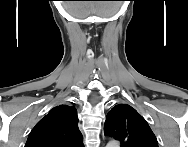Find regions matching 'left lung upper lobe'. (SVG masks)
Here are the masks:
<instances>
[{
    "mask_svg": "<svg viewBox=\"0 0 188 147\" xmlns=\"http://www.w3.org/2000/svg\"><path fill=\"white\" fill-rule=\"evenodd\" d=\"M104 134L121 142V147H158L146 120L130 105L119 104L109 111Z\"/></svg>",
    "mask_w": 188,
    "mask_h": 147,
    "instance_id": "5c2ea615",
    "label": "left lung upper lobe"
}]
</instances>
